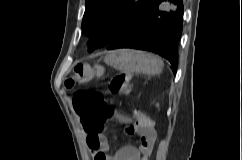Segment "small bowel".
<instances>
[{
  "label": "small bowel",
  "mask_w": 242,
  "mask_h": 160,
  "mask_svg": "<svg viewBox=\"0 0 242 160\" xmlns=\"http://www.w3.org/2000/svg\"><path fill=\"white\" fill-rule=\"evenodd\" d=\"M116 119L125 125L128 134L136 133L139 136V147L128 145L115 154H110L109 142L104 134L93 135L85 129L86 143L92 160H148L156 139V131L150 118L142 112H134V121L119 113L116 114Z\"/></svg>",
  "instance_id": "small-bowel-1"
}]
</instances>
